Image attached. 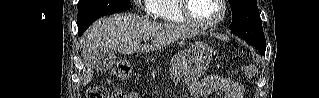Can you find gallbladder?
Instances as JSON below:
<instances>
[{
    "mask_svg": "<svg viewBox=\"0 0 319 98\" xmlns=\"http://www.w3.org/2000/svg\"><path fill=\"white\" fill-rule=\"evenodd\" d=\"M116 62V55L112 50H99L92 57L93 69L97 72L110 70Z\"/></svg>",
    "mask_w": 319,
    "mask_h": 98,
    "instance_id": "obj_1",
    "label": "gallbladder"
}]
</instances>
